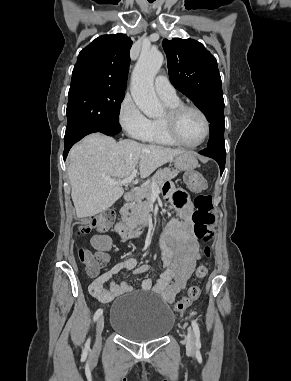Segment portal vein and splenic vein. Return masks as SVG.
Here are the masks:
<instances>
[{
    "label": "portal vein and splenic vein",
    "instance_id": "1",
    "mask_svg": "<svg viewBox=\"0 0 291 381\" xmlns=\"http://www.w3.org/2000/svg\"><path fill=\"white\" fill-rule=\"evenodd\" d=\"M136 174H137V169H134L129 177L124 178V179H122V180H118V181H117V180H112V179H106V180L108 181V183H109L110 185H113V186H114V185H120V186H122V185H127V184H129V183L134 179V177L136 176ZM151 190H152V192H159V187H158V185H156V184H152V185H151Z\"/></svg>",
    "mask_w": 291,
    "mask_h": 381
}]
</instances>
